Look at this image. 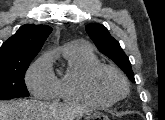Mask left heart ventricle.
Returning a JSON list of instances; mask_svg holds the SVG:
<instances>
[{"instance_id":"obj_1","label":"left heart ventricle","mask_w":165,"mask_h":120,"mask_svg":"<svg viewBox=\"0 0 165 120\" xmlns=\"http://www.w3.org/2000/svg\"><path fill=\"white\" fill-rule=\"evenodd\" d=\"M97 86L100 91L107 95H120L123 91L122 81L116 74L110 71H104L100 74Z\"/></svg>"}]
</instances>
